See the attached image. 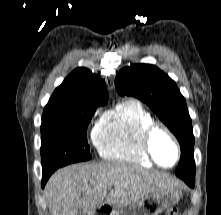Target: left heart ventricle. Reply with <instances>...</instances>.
Listing matches in <instances>:
<instances>
[{
  "mask_svg": "<svg viewBox=\"0 0 221 215\" xmlns=\"http://www.w3.org/2000/svg\"><path fill=\"white\" fill-rule=\"evenodd\" d=\"M152 149L157 160L163 165H170L176 157L175 148L163 132H157L152 140Z\"/></svg>",
  "mask_w": 221,
  "mask_h": 215,
  "instance_id": "b2bd125f",
  "label": "left heart ventricle"
}]
</instances>
